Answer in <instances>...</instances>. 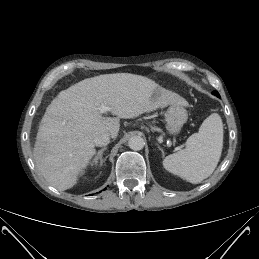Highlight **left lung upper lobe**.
<instances>
[{
	"label": "left lung upper lobe",
	"mask_w": 259,
	"mask_h": 259,
	"mask_svg": "<svg viewBox=\"0 0 259 259\" xmlns=\"http://www.w3.org/2000/svg\"><path fill=\"white\" fill-rule=\"evenodd\" d=\"M213 94L219 97V94L216 91H214Z\"/></svg>",
	"instance_id": "5c2ea615"
}]
</instances>
